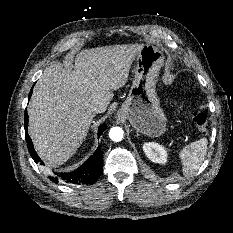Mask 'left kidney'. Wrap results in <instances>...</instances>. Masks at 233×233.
I'll return each mask as SVG.
<instances>
[{
  "label": "left kidney",
  "mask_w": 233,
  "mask_h": 233,
  "mask_svg": "<svg viewBox=\"0 0 233 233\" xmlns=\"http://www.w3.org/2000/svg\"><path fill=\"white\" fill-rule=\"evenodd\" d=\"M146 156L155 163L165 164L167 162V152L158 143L149 142L143 145Z\"/></svg>",
  "instance_id": "left-kidney-1"
}]
</instances>
